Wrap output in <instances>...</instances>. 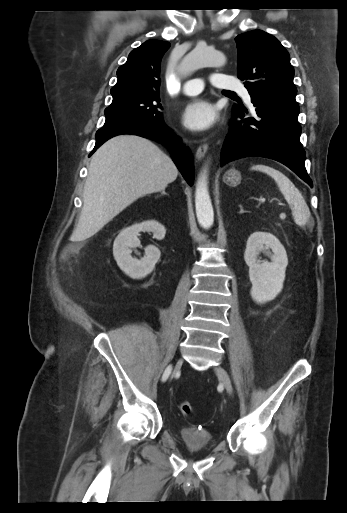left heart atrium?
<instances>
[{
  "instance_id": "left-heart-atrium-1",
  "label": "left heart atrium",
  "mask_w": 347,
  "mask_h": 513,
  "mask_svg": "<svg viewBox=\"0 0 347 513\" xmlns=\"http://www.w3.org/2000/svg\"><path fill=\"white\" fill-rule=\"evenodd\" d=\"M216 120V111L208 100L193 99L182 112V122L190 130L204 131L210 128Z\"/></svg>"
}]
</instances>
